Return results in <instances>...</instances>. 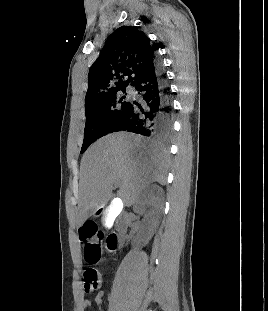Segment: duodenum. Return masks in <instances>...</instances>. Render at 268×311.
Wrapping results in <instances>:
<instances>
[{
  "label": "duodenum",
  "instance_id": "410a0bca",
  "mask_svg": "<svg viewBox=\"0 0 268 311\" xmlns=\"http://www.w3.org/2000/svg\"><path fill=\"white\" fill-rule=\"evenodd\" d=\"M127 222L119 217L115 222V230L107 237V249L110 252H115L122 243L124 234L126 232Z\"/></svg>",
  "mask_w": 268,
  "mask_h": 311
}]
</instances>
